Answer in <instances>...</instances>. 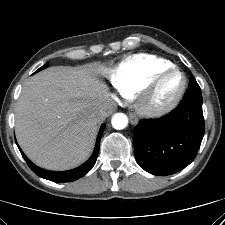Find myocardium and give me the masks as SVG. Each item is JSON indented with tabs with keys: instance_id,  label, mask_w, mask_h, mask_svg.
<instances>
[{
	"instance_id": "f54148a6",
	"label": "myocardium",
	"mask_w": 225,
	"mask_h": 225,
	"mask_svg": "<svg viewBox=\"0 0 225 225\" xmlns=\"http://www.w3.org/2000/svg\"><path fill=\"white\" fill-rule=\"evenodd\" d=\"M177 78L172 92L161 102H153V98L164 81L171 77ZM186 88V77L177 67L164 70L154 76L136 95L138 112L148 118H158L171 112L179 103Z\"/></svg>"
}]
</instances>
